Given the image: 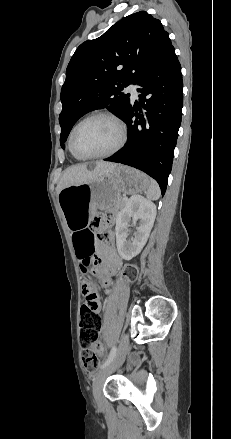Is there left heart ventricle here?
<instances>
[{"label":"left heart ventricle","instance_id":"1","mask_svg":"<svg viewBox=\"0 0 231 439\" xmlns=\"http://www.w3.org/2000/svg\"><path fill=\"white\" fill-rule=\"evenodd\" d=\"M119 139L117 126L107 118H92L76 130L74 148L82 155L106 152L113 148Z\"/></svg>","mask_w":231,"mask_h":439}]
</instances>
